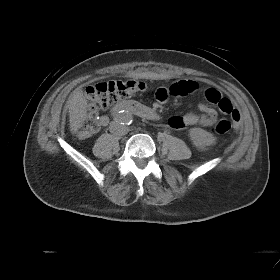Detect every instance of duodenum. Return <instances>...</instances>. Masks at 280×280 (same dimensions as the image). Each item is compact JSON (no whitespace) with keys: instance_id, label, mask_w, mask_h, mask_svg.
Masks as SVG:
<instances>
[{"instance_id":"1","label":"duodenum","mask_w":280,"mask_h":280,"mask_svg":"<svg viewBox=\"0 0 280 280\" xmlns=\"http://www.w3.org/2000/svg\"><path fill=\"white\" fill-rule=\"evenodd\" d=\"M121 112L133 113L150 120L159 119V114L155 110L136 101L121 102L112 109L113 115H118Z\"/></svg>"}]
</instances>
